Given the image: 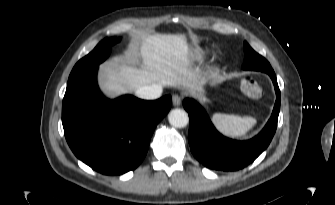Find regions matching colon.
Segmentation results:
<instances>
[{
    "mask_svg": "<svg viewBox=\"0 0 335 205\" xmlns=\"http://www.w3.org/2000/svg\"><path fill=\"white\" fill-rule=\"evenodd\" d=\"M240 85H241V90L248 97L258 98V97H261L263 95L262 87L251 76L244 77L241 80Z\"/></svg>",
    "mask_w": 335,
    "mask_h": 205,
    "instance_id": "1",
    "label": "colon"
}]
</instances>
